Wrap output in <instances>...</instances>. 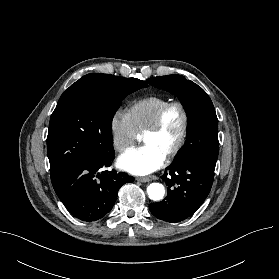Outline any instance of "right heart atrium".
<instances>
[{
  "label": "right heart atrium",
  "mask_w": 279,
  "mask_h": 279,
  "mask_svg": "<svg viewBox=\"0 0 279 279\" xmlns=\"http://www.w3.org/2000/svg\"><path fill=\"white\" fill-rule=\"evenodd\" d=\"M111 139L115 149L123 153L133 146L139 133L126 112L116 111L110 119Z\"/></svg>",
  "instance_id": "obj_1"
}]
</instances>
